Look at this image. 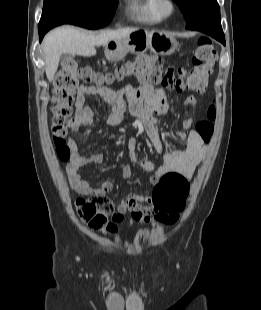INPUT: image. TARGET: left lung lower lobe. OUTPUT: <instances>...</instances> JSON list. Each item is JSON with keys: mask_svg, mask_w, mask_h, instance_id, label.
<instances>
[{"mask_svg": "<svg viewBox=\"0 0 261 310\" xmlns=\"http://www.w3.org/2000/svg\"><path fill=\"white\" fill-rule=\"evenodd\" d=\"M186 28L191 30L202 31L212 36L213 38L217 39L218 41L222 42L223 44H225V37L222 31L221 24L213 20H206L200 23L189 24Z\"/></svg>", "mask_w": 261, "mask_h": 310, "instance_id": "1", "label": "left lung lower lobe"}]
</instances>
